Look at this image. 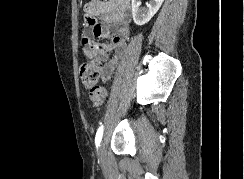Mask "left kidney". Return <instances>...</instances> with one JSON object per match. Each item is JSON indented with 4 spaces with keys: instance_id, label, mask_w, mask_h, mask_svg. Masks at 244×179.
<instances>
[{
    "instance_id": "1",
    "label": "left kidney",
    "mask_w": 244,
    "mask_h": 179,
    "mask_svg": "<svg viewBox=\"0 0 244 179\" xmlns=\"http://www.w3.org/2000/svg\"><path fill=\"white\" fill-rule=\"evenodd\" d=\"M164 0H150L147 8H140L139 0H132V16L137 26H144L147 24L159 8H161Z\"/></svg>"
}]
</instances>
